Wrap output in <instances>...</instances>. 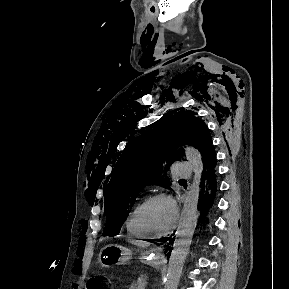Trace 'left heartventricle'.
<instances>
[{"label":"left heart ventricle","mask_w":289,"mask_h":289,"mask_svg":"<svg viewBox=\"0 0 289 289\" xmlns=\"http://www.w3.org/2000/svg\"><path fill=\"white\" fill-rule=\"evenodd\" d=\"M174 217L173 207L167 200L152 202L143 212V224L152 231L161 232L166 230Z\"/></svg>","instance_id":"b2bd125f"}]
</instances>
